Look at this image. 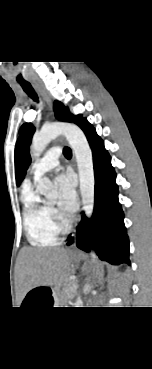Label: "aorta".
<instances>
[{
    "mask_svg": "<svg viewBox=\"0 0 152 369\" xmlns=\"http://www.w3.org/2000/svg\"><path fill=\"white\" fill-rule=\"evenodd\" d=\"M59 135L66 137L74 151L78 165L83 210L86 216L90 218L94 209L95 177L92 151L83 131L77 125L71 123L44 125L40 132L33 136L31 145L32 155L39 157L46 146ZM37 190L47 198H54L57 195L55 186L46 177L39 180ZM91 256L93 261H95L97 255L94 251H91Z\"/></svg>",
    "mask_w": 152,
    "mask_h": 369,
    "instance_id": "762f6f07",
    "label": "aorta"
}]
</instances>
